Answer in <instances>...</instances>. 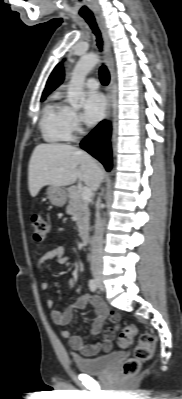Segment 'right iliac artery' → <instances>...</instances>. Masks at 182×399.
Here are the masks:
<instances>
[{"label":"right iliac artery","mask_w":182,"mask_h":399,"mask_svg":"<svg viewBox=\"0 0 182 399\" xmlns=\"http://www.w3.org/2000/svg\"><path fill=\"white\" fill-rule=\"evenodd\" d=\"M89 289L91 290V292H96L97 283H96L95 279H90L89 280Z\"/></svg>","instance_id":"right-iliac-artery-1"}]
</instances>
